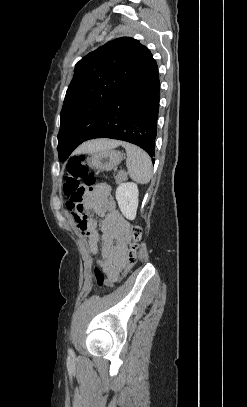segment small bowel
I'll list each match as a JSON object with an SVG mask.
<instances>
[{
  "label": "small bowel",
  "mask_w": 247,
  "mask_h": 407,
  "mask_svg": "<svg viewBox=\"0 0 247 407\" xmlns=\"http://www.w3.org/2000/svg\"><path fill=\"white\" fill-rule=\"evenodd\" d=\"M67 208L90 252L96 255L100 251L99 263L108 280L116 281L127 262L130 234L128 223L116 209L110 188L103 185L90 190L84 201L78 204L69 200ZM86 211L102 218L100 230L97 221Z\"/></svg>",
  "instance_id": "obj_1"
}]
</instances>
